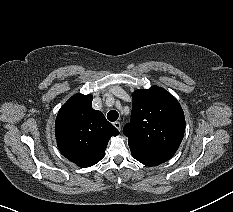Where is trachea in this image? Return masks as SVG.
<instances>
[{
	"label": "trachea",
	"mask_w": 233,
	"mask_h": 212,
	"mask_svg": "<svg viewBox=\"0 0 233 212\" xmlns=\"http://www.w3.org/2000/svg\"><path fill=\"white\" fill-rule=\"evenodd\" d=\"M118 117H119V114H118V112L115 111V110H111V111H109L108 114H107V119H108L109 121H111V122L116 121V120L118 119Z\"/></svg>",
	"instance_id": "obj_1"
}]
</instances>
